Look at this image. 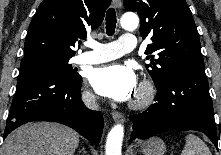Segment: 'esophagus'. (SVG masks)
<instances>
[{
  "mask_svg": "<svg viewBox=\"0 0 221 155\" xmlns=\"http://www.w3.org/2000/svg\"><path fill=\"white\" fill-rule=\"evenodd\" d=\"M113 3L117 9H120L121 5H122V0H113ZM112 117L115 122H123L124 121V115L118 111H114L112 113Z\"/></svg>",
  "mask_w": 221,
  "mask_h": 155,
  "instance_id": "obj_1",
  "label": "esophagus"
}]
</instances>
